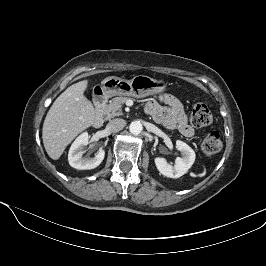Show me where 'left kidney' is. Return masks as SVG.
Returning <instances> with one entry per match:
<instances>
[{"label":"left kidney","mask_w":266,"mask_h":266,"mask_svg":"<svg viewBox=\"0 0 266 266\" xmlns=\"http://www.w3.org/2000/svg\"><path fill=\"white\" fill-rule=\"evenodd\" d=\"M176 148L181 152L182 156L177 157L174 166L170 165L164 158L156 157L155 165L158 171L169 178H179L184 175L195 161L194 150L185 142L177 140Z\"/></svg>","instance_id":"obj_1"}]
</instances>
